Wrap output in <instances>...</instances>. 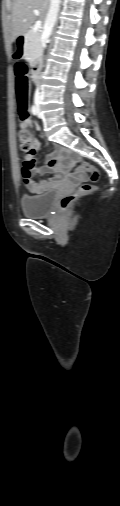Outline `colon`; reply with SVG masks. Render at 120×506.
<instances>
[{
	"label": "colon",
	"mask_w": 120,
	"mask_h": 506,
	"mask_svg": "<svg viewBox=\"0 0 120 506\" xmlns=\"http://www.w3.org/2000/svg\"><path fill=\"white\" fill-rule=\"evenodd\" d=\"M15 50L13 52V57L19 65H24L27 62V57L24 58H16ZM27 55V54H26ZM29 72L24 66H20L15 71L16 78V98H17V113L18 118L22 124L28 121V91H29V82H28ZM18 144L22 152V157L24 160V167L28 170H32L36 166L35 155L37 149L39 147L38 142L34 139L33 135L27 130L25 127L20 129L17 133ZM76 169L81 172H87L90 175L91 183H96L100 179L99 170L92 164L87 162L80 163ZM91 183L82 184L79 189L69 195H66L61 198L59 202V207L62 210L67 209L75 200L79 197L86 195L93 191L94 186Z\"/></svg>",
	"instance_id": "5ec220e1"
}]
</instances>
